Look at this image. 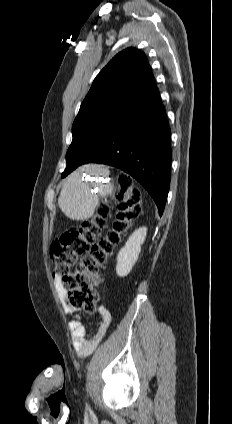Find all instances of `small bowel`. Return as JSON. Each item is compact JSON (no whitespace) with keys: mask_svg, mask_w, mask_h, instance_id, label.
Here are the masks:
<instances>
[{"mask_svg":"<svg viewBox=\"0 0 232 424\" xmlns=\"http://www.w3.org/2000/svg\"><path fill=\"white\" fill-rule=\"evenodd\" d=\"M57 291L62 294L60 284L56 283ZM73 313L72 311H70ZM99 322L96 331L92 335H88L85 326L81 321V317L74 314V318L69 322L68 327L71 333L72 345L79 356L86 357L100 344L104 338L106 331L111 323V314L109 310L100 306L98 308Z\"/></svg>","mask_w":232,"mask_h":424,"instance_id":"obj_1","label":"small bowel"}]
</instances>
